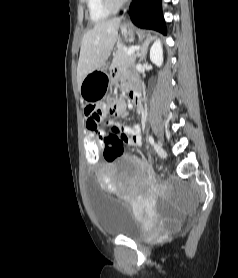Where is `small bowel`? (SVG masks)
Here are the masks:
<instances>
[{"instance_id": "1", "label": "small bowel", "mask_w": 238, "mask_h": 278, "mask_svg": "<svg viewBox=\"0 0 238 278\" xmlns=\"http://www.w3.org/2000/svg\"><path fill=\"white\" fill-rule=\"evenodd\" d=\"M116 78L129 85L133 84V80L126 74H116ZM134 94L135 92H132L131 94L133 102ZM125 109L126 104L124 102H116L115 100H108L107 104L104 105L96 103L88 104L85 108V115L87 117V134L89 130H92L93 133L97 134V137H105L106 144H115L116 142H121V144L126 143L131 146H140L142 143V137L140 127L137 124L130 126H116L112 127L108 131L100 127V124L107 114L120 116L124 113ZM138 165L140 168L145 167L144 163L141 161H138Z\"/></svg>"}]
</instances>
